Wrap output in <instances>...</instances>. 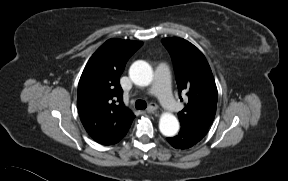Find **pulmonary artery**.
Returning <instances> with one entry per match:
<instances>
[{
    "instance_id": "1",
    "label": "pulmonary artery",
    "mask_w": 288,
    "mask_h": 181,
    "mask_svg": "<svg viewBox=\"0 0 288 181\" xmlns=\"http://www.w3.org/2000/svg\"><path fill=\"white\" fill-rule=\"evenodd\" d=\"M147 93L158 97L162 107L169 112H175L179 109V104L172 96L170 89V71L165 63L159 64L156 69L155 84Z\"/></svg>"
}]
</instances>
